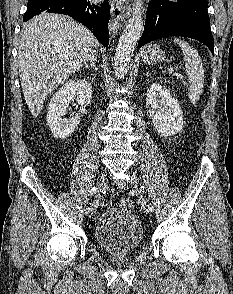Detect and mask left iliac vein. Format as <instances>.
<instances>
[{
	"mask_svg": "<svg viewBox=\"0 0 233 294\" xmlns=\"http://www.w3.org/2000/svg\"><path fill=\"white\" fill-rule=\"evenodd\" d=\"M118 187L121 189V190H127L128 189V185L125 181H118L117 183ZM131 186L133 188V191L139 195V206H140V209L142 212H146V213H149L151 212L148 208H147V204H146V198L145 197H142L141 196V193H140V190H139V187H138V182L136 179H133L131 181Z\"/></svg>",
	"mask_w": 233,
	"mask_h": 294,
	"instance_id": "left-iliac-vein-1",
	"label": "left iliac vein"
}]
</instances>
